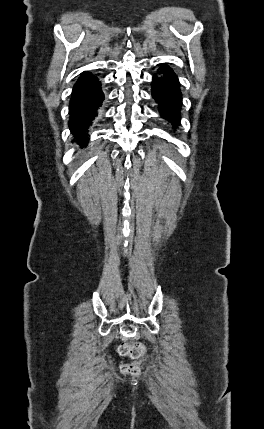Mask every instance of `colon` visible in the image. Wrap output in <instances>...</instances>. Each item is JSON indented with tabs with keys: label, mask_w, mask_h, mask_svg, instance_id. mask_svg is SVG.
<instances>
[{
	"label": "colon",
	"mask_w": 264,
	"mask_h": 429,
	"mask_svg": "<svg viewBox=\"0 0 264 429\" xmlns=\"http://www.w3.org/2000/svg\"><path fill=\"white\" fill-rule=\"evenodd\" d=\"M124 356H129L133 359H140L145 355V347L142 344H123L119 349ZM122 371L125 373H137L138 365L135 363L125 364L122 366Z\"/></svg>",
	"instance_id": "1"
}]
</instances>
